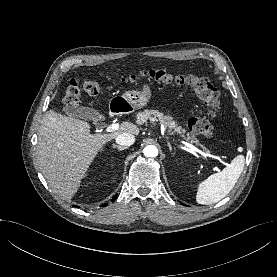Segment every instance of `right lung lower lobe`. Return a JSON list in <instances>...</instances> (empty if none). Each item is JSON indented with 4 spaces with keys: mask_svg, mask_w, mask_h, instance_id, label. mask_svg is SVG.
<instances>
[{
    "mask_svg": "<svg viewBox=\"0 0 277 277\" xmlns=\"http://www.w3.org/2000/svg\"><path fill=\"white\" fill-rule=\"evenodd\" d=\"M117 195L115 197H113L112 201H114L116 199ZM107 204H103L102 206H106Z\"/></svg>",
    "mask_w": 277,
    "mask_h": 277,
    "instance_id": "1",
    "label": "right lung lower lobe"
}]
</instances>
